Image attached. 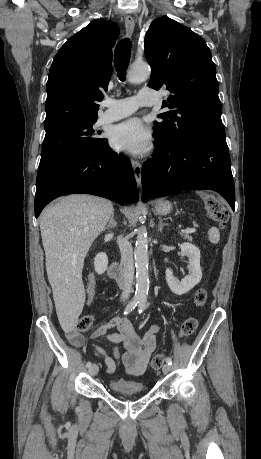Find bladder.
<instances>
[{"instance_id":"1","label":"bladder","mask_w":261,"mask_h":459,"mask_svg":"<svg viewBox=\"0 0 261 459\" xmlns=\"http://www.w3.org/2000/svg\"><path fill=\"white\" fill-rule=\"evenodd\" d=\"M109 389L116 394L131 395L145 391L142 382L136 380L116 379L111 380L108 384Z\"/></svg>"}]
</instances>
